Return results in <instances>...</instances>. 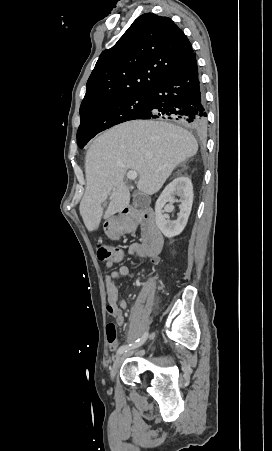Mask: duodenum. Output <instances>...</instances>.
<instances>
[{"label":"duodenum","mask_w":272,"mask_h":451,"mask_svg":"<svg viewBox=\"0 0 272 451\" xmlns=\"http://www.w3.org/2000/svg\"><path fill=\"white\" fill-rule=\"evenodd\" d=\"M140 226L143 241L134 253L140 256H152L160 253L163 247V236L159 231L153 211L146 209L143 212L125 209L118 218L108 222L107 230L111 237L120 238L133 232Z\"/></svg>","instance_id":"410a0bca"}]
</instances>
